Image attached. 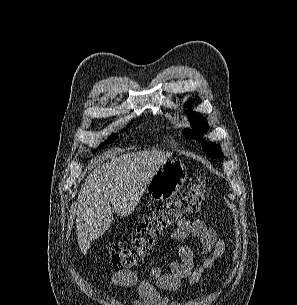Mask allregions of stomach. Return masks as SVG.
<instances>
[{
  "label": "stomach",
  "mask_w": 297,
  "mask_h": 305,
  "mask_svg": "<svg viewBox=\"0 0 297 305\" xmlns=\"http://www.w3.org/2000/svg\"><path fill=\"white\" fill-rule=\"evenodd\" d=\"M187 179V168L180 160H167L151 178L146 192L151 200L166 201L174 197Z\"/></svg>",
  "instance_id": "0dacf381"
}]
</instances>
